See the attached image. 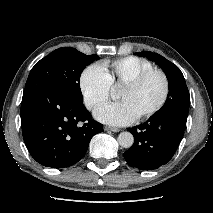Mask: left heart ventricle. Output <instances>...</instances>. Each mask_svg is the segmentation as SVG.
<instances>
[{"label": "left heart ventricle", "mask_w": 213, "mask_h": 213, "mask_svg": "<svg viewBox=\"0 0 213 213\" xmlns=\"http://www.w3.org/2000/svg\"><path fill=\"white\" fill-rule=\"evenodd\" d=\"M163 93V81L159 75L149 76L135 88L122 87L118 98L127 101L136 116L154 106Z\"/></svg>", "instance_id": "b2bd125f"}]
</instances>
